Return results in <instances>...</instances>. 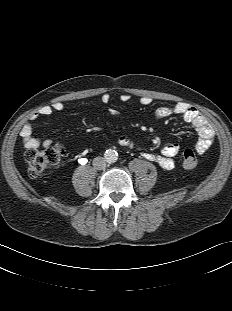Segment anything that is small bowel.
I'll return each mask as SVG.
<instances>
[{
	"label": "small bowel",
	"instance_id": "c3829d8e",
	"mask_svg": "<svg viewBox=\"0 0 232 311\" xmlns=\"http://www.w3.org/2000/svg\"><path fill=\"white\" fill-rule=\"evenodd\" d=\"M130 96L128 94H122L120 100L122 102L129 101ZM110 100L108 94L101 96V101L107 103ZM151 98L144 96L140 99L142 105H149ZM66 109V105L62 101H53L52 103L42 106L39 111L31 116V120H35L38 117H49L53 113L62 112ZM116 114L115 112H112ZM171 115L181 116L186 123L192 125L199 135V139L195 144V150L198 153L206 152L215 136L214 129L208 120L200 114V112L194 107L188 106L184 103H178L173 106H162L156 109L154 116L156 118H164ZM20 135L23 139V144L27 149H36L40 146H51L53 141L51 139H41L36 136L34 127L31 122L27 121L21 128ZM118 142L121 146L126 148H134L135 142L127 136H120ZM179 152V146L171 143L164 146L159 154H153L144 152L142 156L148 160L157 163L160 167L166 170H171L175 167L174 157Z\"/></svg>",
	"mask_w": 232,
	"mask_h": 311
}]
</instances>
